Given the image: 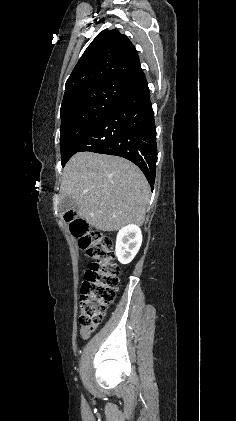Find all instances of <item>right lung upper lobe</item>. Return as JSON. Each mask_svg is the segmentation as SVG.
Wrapping results in <instances>:
<instances>
[{"label":"right lung upper lobe","instance_id":"right-lung-upper-lobe-1","mask_svg":"<svg viewBox=\"0 0 236 421\" xmlns=\"http://www.w3.org/2000/svg\"><path fill=\"white\" fill-rule=\"evenodd\" d=\"M141 69L137 51L118 30H104L83 53L65 85L63 101L83 91L121 85Z\"/></svg>","mask_w":236,"mask_h":421}]
</instances>
